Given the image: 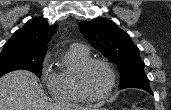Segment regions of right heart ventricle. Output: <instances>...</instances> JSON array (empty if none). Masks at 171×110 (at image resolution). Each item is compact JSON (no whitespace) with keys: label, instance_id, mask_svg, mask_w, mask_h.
<instances>
[{"label":"right heart ventricle","instance_id":"right-heart-ventricle-1","mask_svg":"<svg viewBox=\"0 0 171 110\" xmlns=\"http://www.w3.org/2000/svg\"><path fill=\"white\" fill-rule=\"evenodd\" d=\"M90 59L89 50L72 45L61 58V66L48 81L53 98L60 102L82 103L84 99L76 89L75 78L78 69Z\"/></svg>","mask_w":171,"mask_h":110}]
</instances>
